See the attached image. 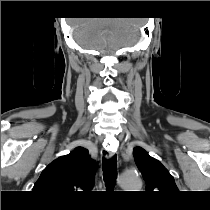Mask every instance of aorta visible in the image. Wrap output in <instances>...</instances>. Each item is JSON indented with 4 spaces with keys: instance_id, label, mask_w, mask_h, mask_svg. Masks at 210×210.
<instances>
[{
    "instance_id": "obj_1",
    "label": "aorta",
    "mask_w": 210,
    "mask_h": 210,
    "mask_svg": "<svg viewBox=\"0 0 210 210\" xmlns=\"http://www.w3.org/2000/svg\"><path fill=\"white\" fill-rule=\"evenodd\" d=\"M120 185L126 191H137L142 187L140 177L134 173H124L120 177Z\"/></svg>"
}]
</instances>
